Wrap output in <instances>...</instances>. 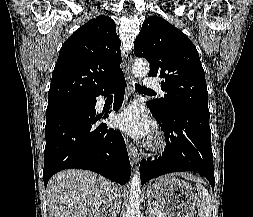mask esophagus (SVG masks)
<instances>
[{"instance_id":"obj_1","label":"esophagus","mask_w":253,"mask_h":217,"mask_svg":"<svg viewBox=\"0 0 253 217\" xmlns=\"http://www.w3.org/2000/svg\"><path fill=\"white\" fill-rule=\"evenodd\" d=\"M131 63H132V57H130L128 61V71H127V77H126L127 88H128L129 94L133 93L134 83H135V78L131 72ZM128 155L130 158V163L132 167H134L139 161V154H138L137 148L133 146L132 144H128Z\"/></svg>"}]
</instances>
